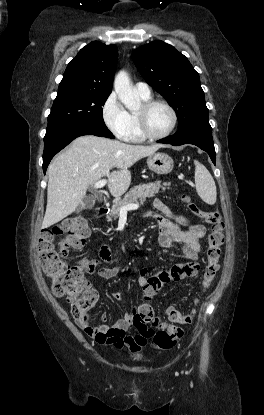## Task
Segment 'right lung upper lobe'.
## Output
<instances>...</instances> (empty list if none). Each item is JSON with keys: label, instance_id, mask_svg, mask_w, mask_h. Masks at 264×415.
<instances>
[{"label": "right lung upper lobe", "instance_id": "1", "mask_svg": "<svg viewBox=\"0 0 264 415\" xmlns=\"http://www.w3.org/2000/svg\"><path fill=\"white\" fill-rule=\"evenodd\" d=\"M117 60L115 45L91 42L68 64L58 95L110 94Z\"/></svg>", "mask_w": 264, "mask_h": 415}]
</instances>
